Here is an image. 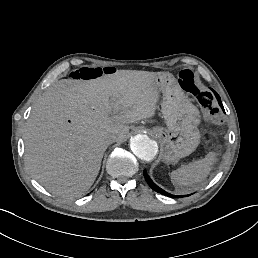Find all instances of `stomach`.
Wrapping results in <instances>:
<instances>
[{
	"instance_id": "0dacf381",
	"label": "stomach",
	"mask_w": 258,
	"mask_h": 258,
	"mask_svg": "<svg viewBox=\"0 0 258 258\" xmlns=\"http://www.w3.org/2000/svg\"><path fill=\"white\" fill-rule=\"evenodd\" d=\"M150 86L162 93L161 113L166 127L154 128L161 145L160 157L166 163H175L192 154L201 141L200 112L173 74L160 72L152 77Z\"/></svg>"
}]
</instances>
